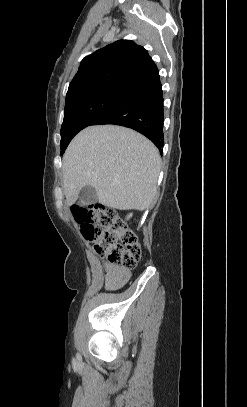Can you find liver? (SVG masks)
<instances>
[{
  "instance_id": "liver-1",
  "label": "liver",
  "mask_w": 247,
  "mask_h": 407,
  "mask_svg": "<svg viewBox=\"0 0 247 407\" xmlns=\"http://www.w3.org/2000/svg\"><path fill=\"white\" fill-rule=\"evenodd\" d=\"M160 165L158 149L140 133L116 125L87 127L63 157L67 203H75L81 189L91 185L101 204L143 211L155 198Z\"/></svg>"
}]
</instances>
